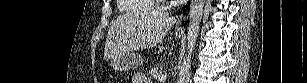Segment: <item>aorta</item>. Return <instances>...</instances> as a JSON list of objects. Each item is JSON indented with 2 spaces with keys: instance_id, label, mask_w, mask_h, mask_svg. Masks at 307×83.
<instances>
[{
  "instance_id": "1",
  "label": "aorta",
  "mask_w": 307,
  "mask_h": 83,
  "mask_svg": "<svg viewBox=\"0 0 307 83\" xmlns=\"http://www.w3.org/2000/svg\"><path fill=\"white\" fill-rule=\"evenodd\" d=\"M204 4L205 0H191L187 29V52L180 68L178 83H183L191 66V57L200 30Z\"/></svg>"
}]
</instances>
